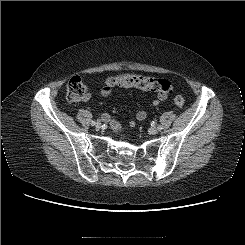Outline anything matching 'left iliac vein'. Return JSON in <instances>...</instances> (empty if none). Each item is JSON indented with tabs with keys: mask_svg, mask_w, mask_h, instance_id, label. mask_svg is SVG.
Instances as JSON below:
<instances>
[{
	"mask_svg": "<svg viewBox=\"0 0 245 245\" xmlns=\"http://www.w3.org/2000/svg\"><path fill=\"white\" fill-rule=\"evenodd\" d=\"M149 133L150 134H157L158 133V129L155 128V127H151V128H149Z\"/></svg>",
	"mask_w": 245,
	"mask_h": 245,
	"instance_id": "1",
	"label": "left iliac vein"
}]
</instances>
